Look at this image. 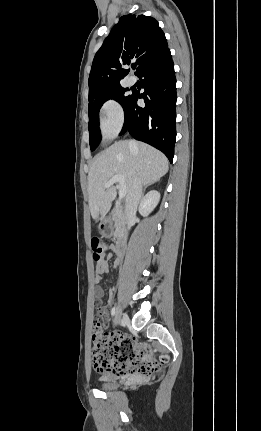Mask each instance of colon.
Returning a JSON list of instances; mask_svg holds the SVG:
<instances>
[{"instance_id":"colon-1","label":"colon","mask_w":261,"mask_h":431,"mask_svg":"<svg viewBox=\"0 0 261 431\" xmlns=\"http://www.w3.org/2000/svg\"><path fill=\"white\" fill-rule=\"evenodd\" d=\"M93 258L98 264L106 254L108 245L98 237L92 238ZM133 338L121 333H107L102 329L101 319H96L93 331L92 357L94 368L100 373L132 374L142 377L158 372L169 360L148 356V349L136 351Z\"/></svg>"}]
</instances>
